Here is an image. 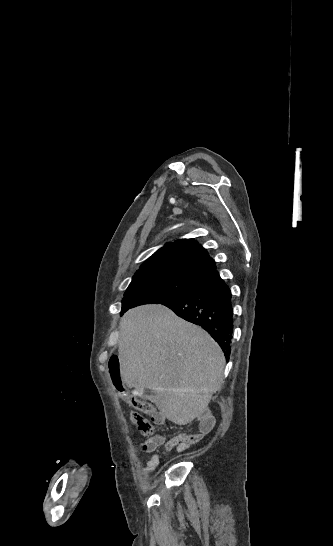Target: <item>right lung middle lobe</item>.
Listing matches in <instances>:
<instances>
[{"mask_svg": "<svg viewBox=\"0 0 333 546\" xmlns=\"http://www.w3.org/2000/svg\"><path fill=\"white\" fill-rule=\"evenodd\" d=\"M202 280L171 274H137L122 300V311L147 303H161L197 288Z\"/></svg>", "mask_w": 333, "mask_h": 546, "instance_id": "obj_1", "label": "right lung middle lobe"}]
</instances>
